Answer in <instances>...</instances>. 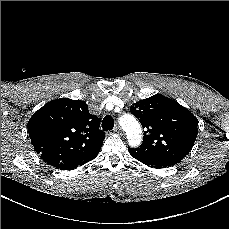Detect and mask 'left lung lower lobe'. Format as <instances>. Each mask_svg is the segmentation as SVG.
Returning <instances> with one entry per match:
<instances>
[{
	"instance_id": "0a47b994",
	"label": "left lung lower lobe",
	"mask_w": 229,
	"mask_h": 229,
	"mask_svg": "<svg viewBox=\"0 0 229 229\" xmlns=\"http://www.w3.org/2000/svg\"><path fill=\"white\" fill-rule=\"evenodd\" d=\"M137 160L142 162L143 164L150 166V167H153V168H165V167H170V166L175 165L174 163H170V162H154V161L149 162V161H144V160H139V159H137Z\"/></svg>"
}]
</instances>
